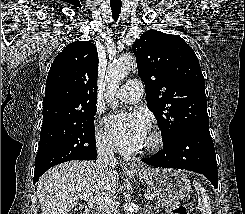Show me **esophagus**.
<instances>
[{"label":"esophagus","mask_w":245,"mask_h":214,"mask_svg":"<svg viewBox=\"0 0 245 214\" xmlns=\"http://www.w3.org/2000/svg\"><path fill=\"white\" fill-rule=\"evenodd\" d=\"M133 166H137V164H132V167H133Z\"/></svg>","instance_id":"obj_1"}]
</instances>
